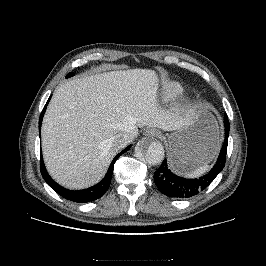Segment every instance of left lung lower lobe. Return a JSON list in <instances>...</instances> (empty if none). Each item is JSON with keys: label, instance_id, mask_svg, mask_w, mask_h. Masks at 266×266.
<instances>
[{"label": "left lung lower lobe", "instance_id": "obj_1", "mask_svg": "<svg viewBox=\"0 0 266 266\" xmlns=\"http://www.w3.org/2000/svg\"><path fill=\"white\" fill-rule=\"evenodd\" d=\"M225 140L214 167L199 179H185L174 175L168 168L165 159L154 174V181L158 189L165 195L174 198H190L206 189L215 177L224 168L227 154L229 136V121L227 115L224 118Z\"/></svg>", "mask_w": 266, "mask_h": 266}]
</instances>
